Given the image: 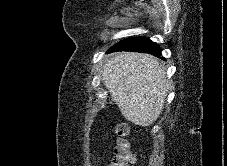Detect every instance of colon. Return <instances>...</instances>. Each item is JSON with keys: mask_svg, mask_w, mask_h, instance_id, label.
<instances>
[{"mask_svg": "<svg viewBox=\"0 0 227 166\" xmlns=\"http://www.w3.org/2000/svg\"><path fill=\"white\" fill-rule=\"evenodd\" d=\"M116 132L119 138L111 166H129L134 161V155L131 142L127 138V127L121 124L117 126Z\"/></svg>", "mask_w": 227, "mask_h": 166, "instance_id": "1", "label": "colon"}]
</instances>
